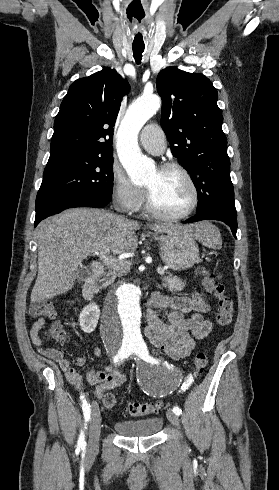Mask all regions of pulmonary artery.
<instances>
[{"label": "pulmonary artery", "mask_w": 279, "mask_h": 490, "mask_svg": "<svg viewBox=\"0 0 279 490\" xmlns=\"http://www.w3.org/2000/svg\"><path fill=\"white\" fill-rule=\"evenodd\" d=\"M140 142L148 152L155 155L163 153L166 147L163 129L157 124H149L142 130Z\"/></svg>", "instance_id": "obj_1"}]
</instances>
